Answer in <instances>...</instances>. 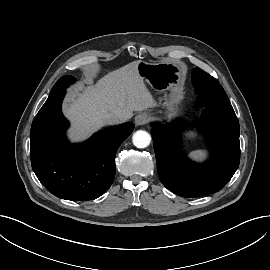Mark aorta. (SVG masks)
I'll return each mask as SVG.
<instances>
[{
  "instance_id": "aorta-1",
  "label": "aorta",
  "mask_w": 270,
  "mask_h": 270,
  "mask_svg": "<svg viewBox=\"0 0 270 270\" xmlns=\"http://www.w3.org/2000/svg\"><path fill=\"white\" fill-rule=\"evenodd\" d=\"M132 141L137 148H145L150 144L151 136L146 131L138 130L133 134Z\"/></svg>"
}]
</instances>
